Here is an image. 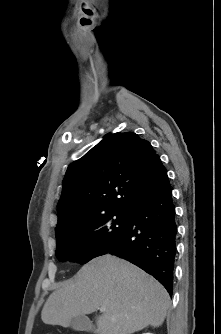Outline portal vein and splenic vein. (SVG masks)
<instances>
[{
	"mask_svg": "<svg viewBox=\"0 0 221 334\" xmlns=\"http://www.w3.org/2000/svg\"><path fill=\"white\" fill-rule=\"evenodd\" d=\"M101 312H104L106 309L104 307L99 308Z\"/></svg>",
	"mask_w": 221,
	"mask_h": 334,
	"instance_id": "portal-vein-and-splenic-vein-1",
	"label": "portal vein and splenic vein"
}]
</instances>
